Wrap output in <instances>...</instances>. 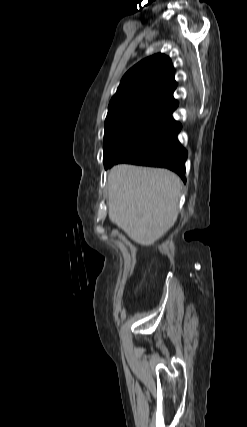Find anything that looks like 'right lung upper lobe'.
Segmentation results:
<instances>
[{
  "mask_svg": "<svg viewBox=\"0 0 247 427\" xmlns=\"http://www.w3.org/2000/svg\"><path fill=\"white\" fill-rule=\"evenodd\" d=\"M174 68L169 57L155 54L137 63L122 78L108 114L143 110L153 112L174 100Z\"/></svg>",
  "mask_w": 247,
  "mask_h": 427,
  "instance_id": "obj_1",
  "label": "right lung upper lobe"
}]
</instances>
